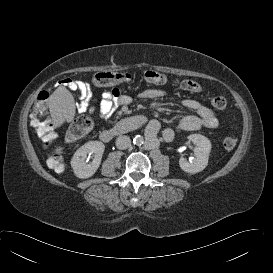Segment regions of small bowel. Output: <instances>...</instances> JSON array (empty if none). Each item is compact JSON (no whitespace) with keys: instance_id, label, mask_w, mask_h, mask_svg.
I'll list each match as a JSON object with an SVG mask.
<instances>
[{"instance_id":"obj_1","label":"small bowel","mask_w":273,"mask_h":273,"mask_svg":"<svg viewBox=\"0 0 273 273\" xmlns=\"http://www.w3.org/2000/svg\"><path fill=\"white\" fill-rule=\"evenodd\" d=\"M60 83L80 94L81 102L77 104V110L79 113L89 112L97 118L107 119L116 108L129 105L132 102V98L129 95L122 94L117 88H114L111 91H104L100 95H95L92 92L90 85L84 81L65 78L61 80ZM181 87L182 89L190 92L201 91V88L199 91H191L185 85H181ZM166 95L167 92L165 90L158 88H148L138 93V97L140 99L146 100L161 99ZM182 105L185 108L193 110L195 114H187L182 116L177 122L175 128H165L162 131V136L166 142L172 141L176 132L196 131L201 128L214 129L217 127L218 120L216 115L212 109L206 105L194 99H185L182 101ZM158 128L159 124L154 122L149 134H156Z\"/></svg>"}]
</instances>
